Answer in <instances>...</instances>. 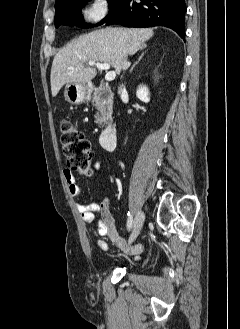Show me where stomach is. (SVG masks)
<instances>
[{"mask_svg": "<svg viewBox=\"0 0 240 329\" xmlns=\"http://www.w3.org/2000/svg\"><path fill=\"white\" fill-rule=\"evenodd\" d=\"M90 88L87 83H67L65 86V99L71 104H80L87 100Z\"/></svg>", "mask_w": 240, "mask_h": 329, "instance_id": "obj_1", "label": "stomach"}]
</instances>
